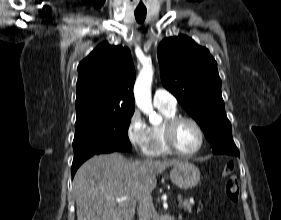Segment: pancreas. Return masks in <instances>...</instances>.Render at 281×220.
<instances>
[{"label": "pancreas", "mask_w": 281, "mask_h": 220, "mask_svg": "<svg viewBox=\"0 0 281 220\" xmlns=\"http://www.w3.org/2000/svg\"><path fill=\"white\" fill-rule=\"evenodd\" d=\"M180 206H181V208L184 209L185 211L191 212L193 203L190 202L188 199H185L184 201H182V202L180 203Z\"/></svg>", "instance_id": "pancreas-1"}]
</instances>
